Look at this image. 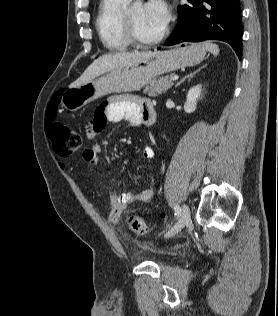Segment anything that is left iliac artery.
<instances>
[{
	"instance_id": "obj_1",
	"label": "left iliac artery",
	"mask_w": 278,
	"mask_h": 316,
	"mask_svg": "<svg viewBox=\"0 0 278 316\" xmlns=\"http://www.w3.org/2000/svg\"><path fill=\"white\" fill-rule=\"evenodd\" d=\"M174 210H175V215L178 217L181 213V208L178 205H176L174 206Z\"/></svg>"
}]
</instances>
